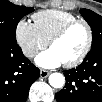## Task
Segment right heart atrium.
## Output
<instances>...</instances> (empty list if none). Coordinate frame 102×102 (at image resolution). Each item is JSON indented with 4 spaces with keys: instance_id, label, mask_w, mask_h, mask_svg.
I'll use <instances>...</instances> for the list:
<instances>
[{
    "instance_id": "obj_1",
    "label": "right heart atrium",
    "mask_w": 102,
    "mask_h": 102,
    "mask_svg": "<svg viewBox=\"0 0 102 102\" xmlns=\"http://www.w3.org/2000/svg\"><path fill=\"white\" fill-rule=\"evenodd\" d=\"M15 34L23 54L28 58L33 57L39 50L48 45V42L40 35L35 25L24 19L17 23Z\"/></svg>"
}]
</instances>
